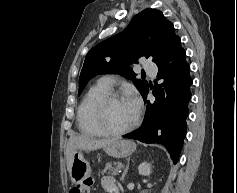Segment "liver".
Instances as JSON below:
<instances>
[{
  "mask_svg": "<svg viewBox=\"0 0 237 193\" xmlns=\"http://www.w3.org/2000/svg\"><path fill=\"white\" fill-rule=\"evenodd\" d=\"M115 140L117 139L108 138L97 140L86 135L70 136L65 152L68 172L70 173L73 154L76 150H97L105 147Z\"/></svg>",
  "mask_w": 237,
  "mask_h": 193,
  "instance_id": "1",
  "label": "liver"
}]
</instances>
